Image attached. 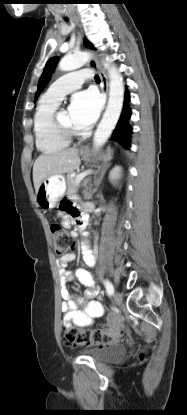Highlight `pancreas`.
Returning <instances> with one entry per match:
<instances>
[{"label":"pancreas","instance_id":"obj_1","mask_svg":"<svg viewBox=\"0 0 187 415\" xmlns=\"http://www.w3.org/2000/svg\"><path fill=\"white\" fill-rule=\"evenodd\" d=\"M76 177L77 176H72L71 173H69L67 175V178H66V181H67V193H66V195L68 197L76 194L77 191H78V189H79V187H80V184L79 183H76Z\"/></svg>","mask_w":187,"mask_h":415}]
</instances>
